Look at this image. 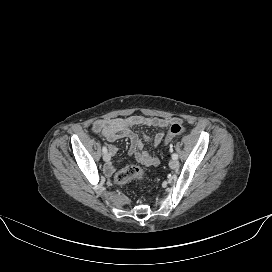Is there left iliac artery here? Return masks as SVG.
I'll return each instance as SVG.
<instances>
[{
  "mask_svg": "<svg viewBox=\"0 0 272 272\" xmlns=\"http://www.w3.org/2000/svg\"><path fill=\"white\" fill-rule=\"evenodd\" d=\"M178 158V155L176 153H173L172 154V159H177Z\"/></svg>",
  "mask_w": 272,
  "mask_h": 272,
  "instance_id": "44dca946",
  "label": "left iliac artery"
}]
</instances>
